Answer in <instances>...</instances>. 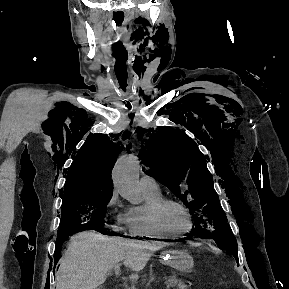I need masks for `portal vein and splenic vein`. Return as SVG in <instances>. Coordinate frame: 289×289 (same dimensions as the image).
Wrapping results in <instances>:
<instances>
[{
  "instance_id": "18ae733b",
  "label": "portal vein and splenic vein",
  "mask_w": 289,
  "mask_h": 289,
  "mask_svg": "<svg viewBox=\"0 0 289 289\" xmlns=\"http://www.w3.org/2000/svg\"><path fill=\"white\" fill-rule=\"evenodd\" d=\"M114 270H115V273L118 274L120 271V265L119 264L115 265ZM169 286L170 285L167 284V287H169Z\"/></svg>"
}]
</instances>
